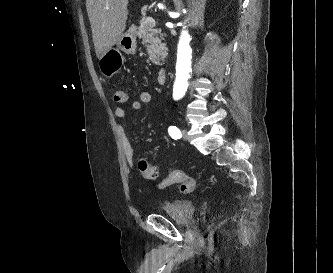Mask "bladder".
Returning <instances> with one entry per match:
<instances>
[{
	"mask_svg": "<svg viewBox=\"0 0 333 273\" xmlns=\"http://www.w3.org/2000/svg\"><path fill=\"white\" fill-rule=\"evenodd\" d=\"M169 219L181 226H189L194 220L195 206L190 200H175L161 210Z\"/></svg>",
	"mask_w": 333,
	"mask_h": 273,
	"instance_id": "bladder-1",
	"label": "bladder"
}]
</instances>
